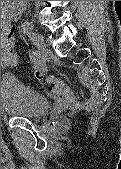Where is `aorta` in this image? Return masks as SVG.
<instances>
[{
  "label": "aorta",
  "mask_w": 121,
  "mask_h": 169,
  "mask_svg": "<svg viewBox=\"0 0 121 169\" xmlns=\"http://www.w3.org/2000/svg\"><path fill=\"white\" fill-rule=\"evenodd\" d=\"M27 1H2L1 9L12 14H20L23 12Z\"/></svg>",
  "instance_id": "1"
}]
</instances>
